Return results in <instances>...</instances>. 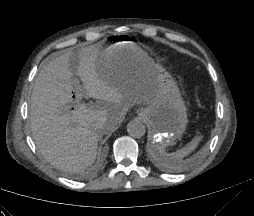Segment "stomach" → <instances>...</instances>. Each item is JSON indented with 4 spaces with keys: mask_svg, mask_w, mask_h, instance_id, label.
<instances>
[{
    "mask_svg": "<svg viewBox=\"0 0 254 216\" xmlns=\"http://www.w3.org/2000/svg\"><path fill=\"white\" fill-rule=\"evenodd\" d=\"M106 41L111 44L102 46L100 52V58L110 59L106 71L152 73L155 81L151 101L140 109L139 117L151 128V143L165 150L183 134L188 122L186 106L176 81L127 36L110 37Z\"/></svg>",
    "mask_w": 254,
    "mask_h": 216,
    "instance_id": "obj_1",
    "label": "stomach"
}]
</instances>
